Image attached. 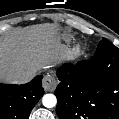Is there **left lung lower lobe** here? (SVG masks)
I'll return each mask as SVG.
<instances>
[{"instance_id":"0a47b994","label":"left lung lower lobe","mask_w":119,"mask_h":119,"mask_svg":"<svg viewBox=\"0 0 119 119\" xmlns=\"http://www.w3.org/2000/svg\"><path fill=\"white\" fill-rule=\"evenodd\" d=\"M59 119H119V48L103 38L95 55L57 70Z\"/></svg>"}]
</instances>
